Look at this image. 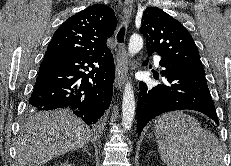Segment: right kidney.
<instances>
[{
	"label": "right kidney",
	"instance_id": "obj_1",
	"mask_svg": "<svg viewBox=\"0 0 231 166\" xmlns=\"http://www.w3.org/2000/svg\"><path fill=\"white\" fill-rule=\"evenodd\" d=\"M60 166H75V164L70 163L69 161H66L65 163H62Z\"/></svg>",
	"mask_w": 231,
	"mask_h": 166
}]
</instances>
